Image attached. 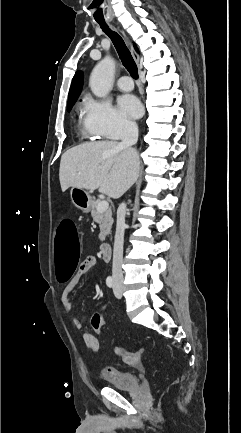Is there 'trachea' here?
Instances as JSON below:
<instances>
[{"instance_id":"3493384b","label":"trachea","mask_w":241,"mask_h":433,"mask_svg":"<svg viewBox=\"0 0 241 433\" xmlns=\"http://www.w3.org/2000/svg\"><path fill=\"white\" fill-rule=\"evenodd\" d=\"M94 9H96L94 11V21L102 28V30L110 37V39L112 40L117 53L124 65V67L128 70V72L130 73V75L134 78V79H138V68L137 65L129 51V49L127 48L125 42L123 41V39L121 38V36L119 34H117L116 32L112 31L108 25L105 23L104 20V15H103V10H104V4H94Z\"/></svg>"}]
</instances>
